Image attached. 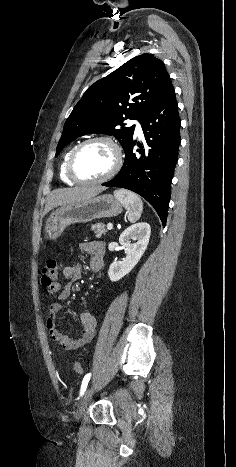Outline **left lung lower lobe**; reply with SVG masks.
<instances>
[{
    "label": "left lung lower lobe",
    "instance_id": "obj_1",
    "mask_svg": "<svg viewBox=\"0 0 236 467\" xmlns=\"http://www.w3.org/2000/svg\"><path fill=\"white\" fill-rule=\"evenodd\" d=\"M145 145L138 154L133 152L136 141L124 147L125 161L121 171L107 187L129 189L145 198L156 210L163 226L171 196V181L181 142L178 104L173 86L164 97L140 120Z\"/></svg>",
    "mask_w": 236,
    "mask_h": 467
}]
</instances>
